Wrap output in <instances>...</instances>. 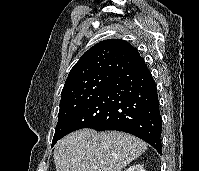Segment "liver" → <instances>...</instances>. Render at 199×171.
<instances>
[{
	"mask_svg": "<svg viewBox=\"0 0 199 171\" xmlns=\"http://www.w3.org/2000/svg\"><path fill=\"white\" fill-rule=\"evenodd\" d=\"M147 149V144L120 131L82 129L57 142L56 171H122Z\"/></svg>",
	"mask_w": 199,
	"mask_h": 171,
	"instance_id": "1",
	"label": "liver"
}]
</instances>
